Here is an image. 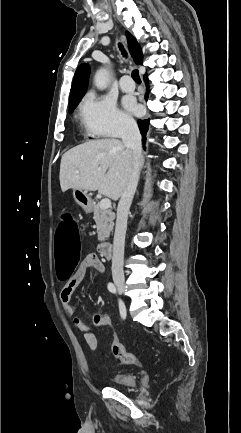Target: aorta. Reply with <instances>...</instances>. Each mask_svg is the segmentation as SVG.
Listing matches in <instances>:
<instances>
[{
    "instance_id": "762f6f07",
    "label": "aorta",
    "mask_w": 241,
    "mask_h": 433,
    "mask_svg": "<svg viewBox=\"0 0 241 433\" xmlns=\"http://www.w3.org/2000/svg\"><path fill=\"white\" fill-rule=\"evenodd\" d=\"M109 82V71L106 68L99 69L94 77V83L98 89H105Z\"/></svg>"
}]
</instances>
